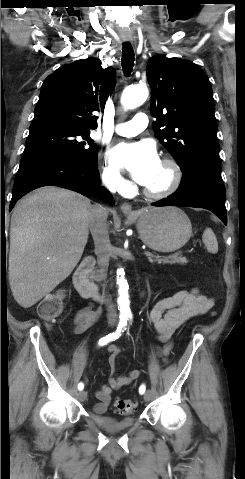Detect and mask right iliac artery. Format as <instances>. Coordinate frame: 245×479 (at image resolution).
I'll return each mask as SVG.
<instances>
[{"mask_svg": "<svg viewBox=\"0 0 245 479\" xmlns=\"http://www.w3.org/2000/svg\"><path fill=\"white\" fill-rule=\"evenodd\" d=\"M126 326H127V317L126 316H121L116 331L113 332V333L108 334L107 336H105L103 338H101L99 340L98 344L100 346H103V345H106L107 343H109L111 341H114V340L118 339L121 336V334L124 332V330H126ZM83 388H84V384L82 382H80L78 384V390L81 391V390H83Z\"/></svg>", "mask_w": 245, "mask_h": 479, "instance_id": "82829eb1", "label": "right iliac artery"}]
</instances>
